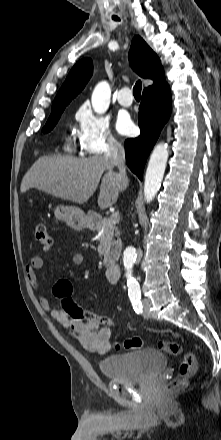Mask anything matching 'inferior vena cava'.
I'll use <instances>...</instances> for the list:
<instances>
[{
    "instance_id": "inferior-vena-cava-1",
    "label": "inferior vena cava",
    "mask_w": 221,
    "mask_h": 440,
    "mask_svg": "<svg viewBox=\"0 0 221 440\" xmlns=\"http://www.w3.org/2000/svg\"><path fill=\"white\" fill-rule=\"evenodd\" d=\"M104 158L112 166H116L119 169V177L124 181H127L126 166H125V152L122 145L115 139H109L108 148L105 152Z\"/></svg>"
}]
</instances>
